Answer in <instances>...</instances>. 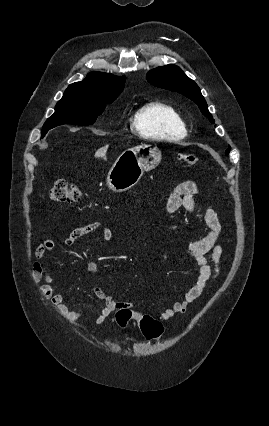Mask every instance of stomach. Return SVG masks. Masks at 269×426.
<instances>
[{
	"label": "stomach",
	"mask_w": 269,
	"mask_h": 426,
	"mask_svg": "<svg viewBox=\"0 0 269 426\" xmlns=\"http://www.w3.org/2000/svg\"><path fill=\"white\" fill-rule=\"evenodd\" d=\"M161 161L156 146L141 144L124 151L107 176V185L114 192H124L135 186L144 172L154 169Z\"/></svg>",
	"instance_id": "1"
}]
</instances>
